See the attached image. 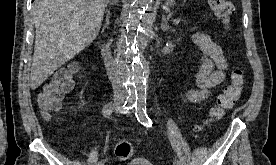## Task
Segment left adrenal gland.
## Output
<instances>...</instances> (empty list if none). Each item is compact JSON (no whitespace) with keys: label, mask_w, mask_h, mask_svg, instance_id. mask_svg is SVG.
<instances>
[{"label":"left adrenal gland","mask_w":276,"mask_h":165,"mask_svg":"<svg viewBox=\"0 0 276 165\" xmlns=\"http://www.w3.org/2000/svg\"><path fill=\"white\" fill-rule=\"evenodd\" d=\"M161 29L163 31H166V30H170L172 32L175 31V29L173 27H171L168 22H167V18L165 15L162 16V23H161Z\"/></svg>","instance_id":"1"}]
</instances>
